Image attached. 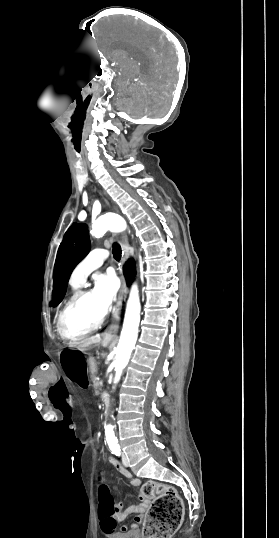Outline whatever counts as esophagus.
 <instances>
[{"label": "esophagus", "mask_w": 279, "mask_h": 538, "mask_svg": "<svg viewBox=\"0 0 279 538\" xmlns=\"http://www.w3.org/2000/svg\"><path fill=\"white\" fill-rule=\"evenodd\" d=\"M121 246H122V260H121V269H120V280H121V287L118 292V297L116 301V305L113 307L112 310V319L110 325L104 330L103 332V338L104 339H113L116 338L118 327H119V313L122 306V300L126 293V287H125V279L122 272V266L126 262V260L129 257V243L128 238L126 234H122L121 236Z\"/></svg>", "instance_id": "34e87169"}]
</instances>
